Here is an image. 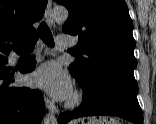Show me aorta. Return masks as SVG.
Instances as JSON below:
<instances>
[{"label": "aorta", "mask_w": 156, "mask_h": 124, "mask_svg": "<svg viewBox=\"0 0 156 124\" xmlns=\"http://www.w3.org/2000/svg\"><path fill=\"white\" fill-rule=\"evenodd\" d=\"M52 17L56 22H64L68 18V10L64 7L54 8ZM44 124H57V119L53 113L46 114Z\"/></svg>", "instance_id": "1"}]
</instances>
